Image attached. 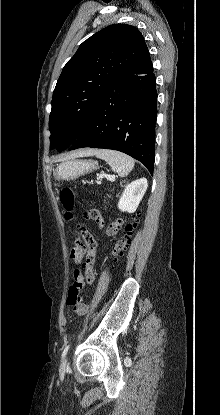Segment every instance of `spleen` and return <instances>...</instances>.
Segmentation results:
<instances>
[{
    "label": "spleen",
    "mask_w": 220,
    "mask_h": 415,
    "mask_svg": "<svg viewBox=\"0 0 220 415\" xmlns=\"http://www.w3.org/2000/svg\"><path fill=\"white\" fill-rule=\"evenodd\" d=\"M97 158L105 160L111 167L112 171L116 172L120 177L127 176L134 167V159L124 153L114 150H96Z\"/></svg>",
    "instance_id": "1"
}]
</instances>
